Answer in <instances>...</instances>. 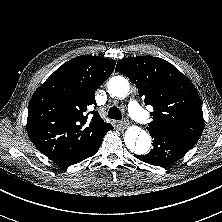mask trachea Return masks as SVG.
<instances>
[{
    "instance_id": "obj_1",
    "label": "trachea",
    "mask_w": 222,
    "mask_h": 222,
    "mask_svg": "<svg viewBox=\"0 0 222 222\" xmlns=\"http://www.w3.org/2000/svg\"><path fill=\"white\" fill-rule=\"evenodd\" d=\"M107 116H108V118L115 119V120H121V118H122L121 111L119 110V108H117L115 106H113L109 109Z\"/></svg>"
}]
</instances>
